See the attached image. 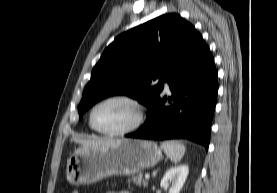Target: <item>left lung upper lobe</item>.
I'll return each instance as SVG.
<instances>
[{"label": "left lung upper lobe", "instance_id": "1", "mask_svg": "<svg viewBox=\"0 0 277 193\" xmlns=\"http://www.w3.org/2000/svg\"><path fill=\"white\" fill-rule=\"evenodd\" d=\"M199 33L178 14H165L120 34L93 68L78 106L79 118L97 101L126 94L151 110ZM160 78L158 84L152 81Z\"/></svg>", "mask_w": 277, "mask_h": 193}]
</instances>
